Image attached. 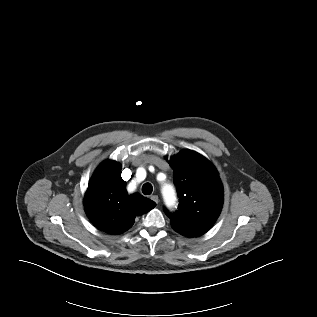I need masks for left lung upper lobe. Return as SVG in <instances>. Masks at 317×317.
Segmentation results:
<instances>
[{
	"instance_id": "obj_1",
	"label": "left lung upper lobe",
	"mask_w": 317,
	"mask_h": 317,
	"mask_svg": "<svg viewBox=\"0 0 317 317\" xmlns=\"http://www.w3.org/2000/svg\"><path fill=\"white\" fill-rule=\"evenodd\" d=\"M177 188L178 210L170 213L171 225L209 230L217 220L223 205V186L213 164L202 155L184 150L170 159Z\"/></svg>"
}]
</instances>
